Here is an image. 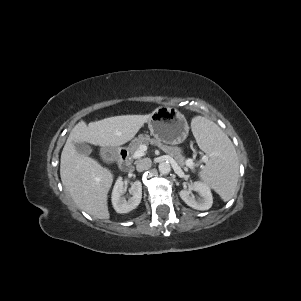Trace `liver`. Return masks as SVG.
Segmentation results:
<instances>
[{
    "label": "liver",
    "mask_w": 301,
    "mask_h": 301,
    "mask_svg": "<svg viewBox=\"0 0 301 301\" xmlns=\"http://www.w3.org/2000/svg\"><path fill=\"white\" fill-rule=\"evenodd\" d=\"M150 115H122L91 122L81 121L71 130L62 150L60 176L77 206L98 219H109L107 197L112 173L94 159L80 155L74 143L88 142L100 147L120 146L130 141Z\"/></svg>",
    "instance_id": "6515ba94"
}]
</instances>
